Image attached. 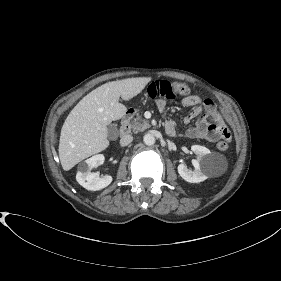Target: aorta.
I'll list each match as a JSON object with an SVG mask.
<instances>
[{
    "label": "aorta",
    "instance_id": "1",
    "mask_svg": "<svg viewBox=\"0 0 281 281\" xmlns=\"http://www.w3.org/2000/svg\"><path fill=\"white\" fill-rule=\"evenodd\" d=\"M143 141L146 145L151 146L155 143V137L151 133H147L143 137Z\"/></svg>",
    "mask_w": 281,
    "mask_h": 281
}]
</instances>
